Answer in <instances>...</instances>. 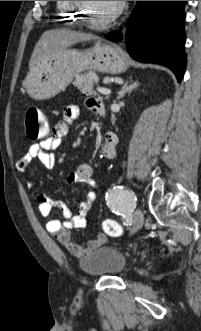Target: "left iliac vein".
<instances>
[{
	"label": "left iliac vein",
	"instance_id": "obj_1",
	"mask_svg": "<svg viewBox=\"0 0 201 331\" xmlns=\"http://www.w3.org/2000/svg\"><path fill=\"white\" fill-rule=\"evenodd\" d=\"M144 217H143V212L141 209H136V211L133 214V226L131 228V234L135 233L138 231L143 224Z\"/></svg>",
	"mask_w": 201,
	"mask_h": 331
}]
</instances>
